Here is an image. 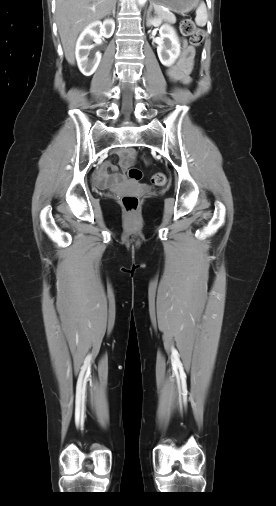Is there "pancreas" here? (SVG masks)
I'll list each match as a JSON object with an SVG mask.
<instances>
[{
	"instance_id": "obj_1",
	"label": "pancreas",
	"mask_w": 276,
	"mask_h": 506,
	"mask_svg": "<svg viewBox=\"0 0 276 506\" xmlns=\"http://www.w3.org/2000/svg\"><path fill=\"white\" fill-rule=\"evenodd\" d=\"M155 10L160 19L172 24L176 22V17L171 12L165 11L161 7H157Z\"/></svg>"
}]
</instances>
